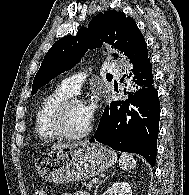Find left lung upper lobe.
<instances>
[{
    "label": "left lung upper lobe",
    "mask_w": 189,
    "mask_h": 195,
    "mask_svg": "<svg viewBox=\"0 0 189 195\" xmlns=\"http://www.w3.org/2000/svg\"><path fill=\"white\" fill-rule=\"evenodd\" d=\"M103 42L124 53L132 67L148 58L145 40L136 22L123 12L105 11L95 16L88 28H80L75 36H66L54 43L34 78L32 95L74 67L88 49L99 48Z\"/></svg>",
    "instance_id": "obj_1"
}]
</instances>
